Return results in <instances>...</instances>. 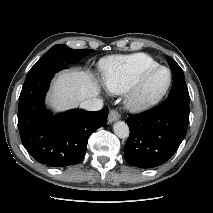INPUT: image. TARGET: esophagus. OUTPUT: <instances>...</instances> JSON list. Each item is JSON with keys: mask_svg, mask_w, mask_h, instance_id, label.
Returning a JSON list of instances; mask_svg holds the SVG:
<instances>
[{"mask_svg": "<svg viewBox=\"0 0 213 213\" xmlns=\"http://www.w3.org/2000/svg\"><path fill=\"white\" fill-rule=\"evenodd\" d=\"M120 118V114L116 110H111L108 115V122L112 123Z\"/></svg>", "mask_w": 213, "mask_h": 213, "instance_id": "34e87169", "label": "esophagus"}]
</instances>
